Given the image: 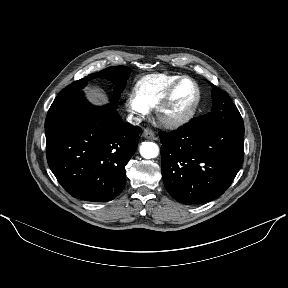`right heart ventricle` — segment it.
<instances>
[{
  "label": "right heart ventricle",
  "instance_id": "e07e8e85",
  "mask_svg": "<svg viewBox=\"0 0 288 288\" xmlns=\"http://www.w3.org/2000/svg\"><path fill=\"white\" fill-rule=\"evenodd\" d=\"M179 75L153 74L141 78L135 85V94L149 109L155 108Z\"/></svg>",
  "mask_w": 288,
  "mask_h": 288
}]
</instances>
